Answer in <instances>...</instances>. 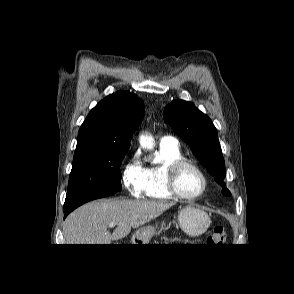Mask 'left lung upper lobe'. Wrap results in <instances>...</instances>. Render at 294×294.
I'll use <instances>...</instances> for the list:
<instances>
[{"instance_id":"left-lung-upper-lobe-1","label":"left lung upper lobe","mask_w":294,"mask_h":294,"mask_svg":"<svg viewBox=\"0 0 294 294\" xmlns=\"http://www.w3.org/2000/svg\"><path fill=\"white\" fill-rule=\"evenodd\" d=\"M165 122L184 140L215 181L223 186V194L231 195L226 188L225 163L218 133L211 119L191 102L173 100L163 112Z\"/></svg>"}]
</instances>
